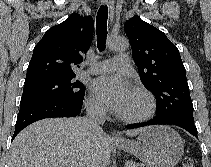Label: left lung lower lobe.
I'll return each mask as SVG.
<instances>
[{
	"instance_id": "obj_1",
	"label": "left lung lower lobe",
	"mask_w": 211,
	"mask_h": 167,
	"mask_svg": "<svg viewBox=\"0 0 211 167\" xmlns=\"http://www.w3.org/2000/svg\"><path fill=\"white\" fill-rule=\"evenodd\" d=\"M157 124H172V125L179 126L183 129L187 130L189 133H191L196 138H198L197 129H196V126L194 125V122L184 120V119H178V118L177 119L154 118L147 122L128 125L127 128L133 129V128H139V127H144V126H148V125H157Z\"/></svg>"
}]
</instances>
